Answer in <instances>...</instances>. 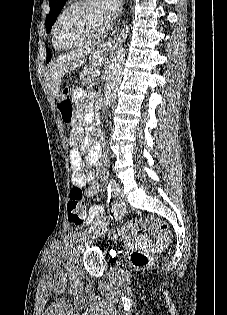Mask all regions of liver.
Listing matches in <instances>:
<instances>
[{"label": "liver", "mask_w": 227, "mask_h": 315, "mask_svg": "<svg viewBox=\"0 0 227 315\" xmlns=\"http://www.w3.org/2000/svg\"><path fill=\"white\" fill-rule=\"evenodd\" d=\"M84 52L71 51L66 55L60 56L49 64L46 73L48 88L53 96H59L62 78L71 71L80 67L83 63Z\"/></svg>", "instance_id": "1"}]
</instances>
